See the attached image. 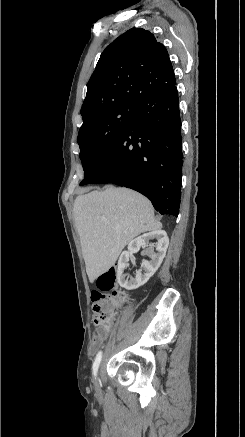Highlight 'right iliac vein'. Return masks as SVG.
<instances>
[{"label":"right iliac vein","mask_w":245,"mask_h":437,"mask_svg":"<svg viewBox=\"0 0 245 437\" xmlns=\"http://www.w3.org/2000/svg\"><path fill=\"white\" fill-rule=\"evenodd\" d=\"M96 384H98V378H96Z\"/></svg>","instance_id":"1"}]
</instances>
